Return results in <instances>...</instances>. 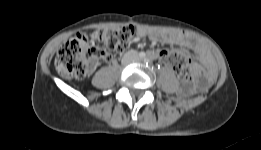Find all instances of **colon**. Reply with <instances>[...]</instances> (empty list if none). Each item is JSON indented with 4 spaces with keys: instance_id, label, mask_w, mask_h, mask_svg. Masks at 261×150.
I'll list each match as a JSON object with an SVG mask.
<instances>
[{
    "instance_id": "colon-1",
    "label": "colon",
    "mask_w": 261,
    "mask_h": 150,
    "mask_svg": "<svg viewBox=\"0 0 261 150\" xmlns=\"http://www.w3.org/2000/svg\"><path fill=\"white\" fill-rule=\"evenodd\" d=\"M135 37L136 29L132 25L95 30L88 35L77 34L59 48L55 58L56 70L65 78L85 79L93 73L100 60L111 52H124ZM91 40L101 41L104 47H94ZM162 62L182 80L188 79L190 59L184 53L167 50Z\"/></svg>"
}]
</instances>
